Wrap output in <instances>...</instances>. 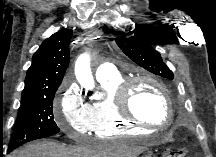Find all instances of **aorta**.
Returning <instances> with one entry per match:
<instances>
[{"mask_svg": "<svg viewBox=\"0 0 216 157\" xmlns=\"http://www.w3.org/2000/svg\"><path fill=\"white\" fill-rule=\"evenodd\" d=\"M75 75L80 85L86 89L94 86V79L90 69V61L88 55H82L76 62Z\"/></svg>", "mask_w": 216, "mask_h": 157, "instance_id": "1", "label": "aorta"}]
</instances>
